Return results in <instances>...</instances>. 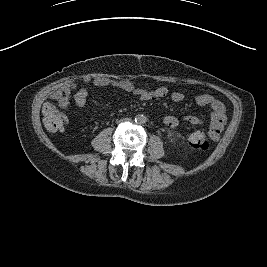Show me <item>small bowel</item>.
<instances>
[{"label":"small bowel","mask_w":267,"mask_h":267,"mask_svg":"<svg viewBox=\"0 0 267 267\" xmlns=\"http://www.w3.org/2000/svg\"><path fill=\"white\" fill-rule=\"evenodd\" d=\"M96 83H100L96 81ZM106 85L112 87H118L125 89L126 91L137 96L142 101H155L158 99L165 98L169 95L171 101L175 103H180L185 100V94L180 91H175L169 94V91L165 87H157L150 91L141 87H138L131 83H116L107 82ZM89 97V90L86 87L79 88L74 91L73 85L66 86L62 91L56 94V99L58 100L60 106L67 109L70 105L71 99L79 108H84ZM195 103L201 107H207L210 112L209 120V131L208 136L212 141H218L222 130L226 123V111L225 106L222 102L214 98L209 94H198L195 96ZM184 121L189 125H199L203 123V119L195 115H187ZM164 123L170 128H175L178 126L179 121L173 115H168L164 118ZM200 131L194 132L196 134Z\"/></svg>","instance_id":"c3829d8e"}]
</instances>
